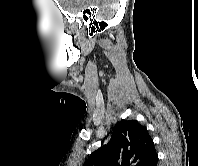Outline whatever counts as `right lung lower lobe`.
I'll use <instances>...</instances> for the list:
<instances>
[{"mask_svg":"<svg viewBox=\"0 0 198 166\" xmlns=\"http://www.w3.org/2000/svg\"><path fill=\"white\" fill-rule=\"evenodd\" d=\"M158 155L155 154L146 166H157Z\"/></svg>","mask_w":198,"mask_h":166,"instance_id":"1","label":"right lung lower lobe"}]
</instances>
